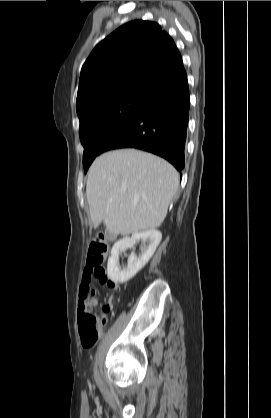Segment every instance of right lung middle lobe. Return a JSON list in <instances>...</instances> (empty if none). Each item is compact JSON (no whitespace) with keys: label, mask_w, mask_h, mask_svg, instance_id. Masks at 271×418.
<instances>
[{"label":"right lung middle lobe","mask_w":271,"mask_h":418,"mask_svg":"<svg viewBox=\"0 0 271 418\" xmlns=\"http://www.w3.org/2000/svg\"><path fill=\"white\" fill-rule=\"evenodd\" d=\"M150 99L134 94L118 95L93 105L78 113L79 136L84 147L83 166L86 173L109 136L133 117Z\"/></svg>","instance_id":"1"}]
</instances>
